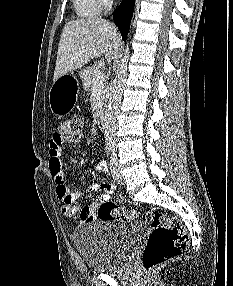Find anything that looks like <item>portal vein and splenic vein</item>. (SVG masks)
<instances>
[{
  "label": "portal vein and splenic vein",
  "mask_w": 233,
  "mask_h": 286,
  "mask_svg": "<svg viewBox=\"0 0 233 286\" xmlns=\"http://www.w3.org/2000/svg\"><path fill=\"white\" fill-rule=\"evenodd\" d=\"M104 81V73L98 72L97 75L94 76V82L95 83H102Z\"/></svg>",
  "instance_id": "18ae733b"
}]
</instances>
